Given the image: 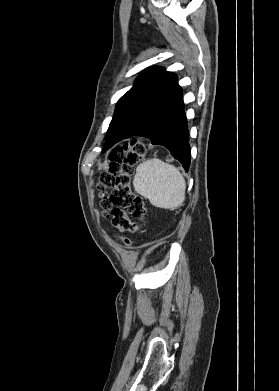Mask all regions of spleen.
Returning <instances> with one entry per match:
<instances>
[{
    "label": "spleen",
    "mask_w": 279,
    "mask_h": 391,
    "mask_svg": "<svg viewBox=\"0 0 279 391\" xmlns=\"http://www.w3.org/2000/svg\"><path fill=\"white\" fill-rule=\"evenodd\" d=\"M133 186L155 207L175 209L185 200L184 177L174 165L157 158L146 160L137 167Z\"/></svg>",
    "instance_id": "3e777b00"
}]
</instances>
